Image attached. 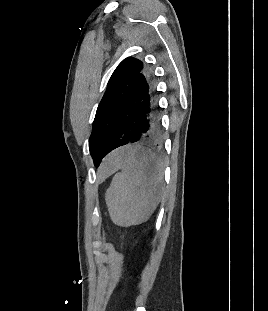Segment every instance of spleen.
Instances as JSON below:
<instances>
[{
    "label": "spleen",
    "instance_id": "3e777b00",
    "mask_svg": "<svg viewBox=\"0 0 268 311\" xmlns=\"http://www.w3.org/2000/svg\"><path fill=\"white\" fill-rule=\"evenodd\" d=\"M109 161L113 172L121 170L105 194L111 220L121 227L147 221L163 190L164 168L157 152L144 144H125L115 148Z\"/></svg>",
    "mask_w": 268,
    "mask_h": 311
}]
</instances>
